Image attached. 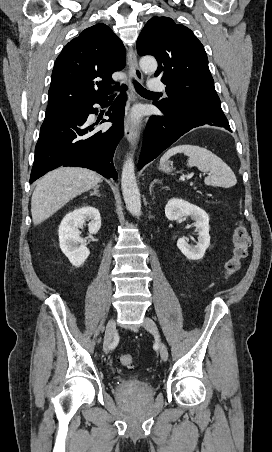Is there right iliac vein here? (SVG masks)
I'll return each instance as SVG.
<instances>
[{
	"label": "right iliac vein",
	"mask_w": 272,
	"mask_h": 452,
	"mask_svg": "<svg viewBox=\"0 0 272 452\" xmlns=\"http://www.w3.org/2000/svg\"><path fill=\"white\" fill-rule=\"evenodd\" d=\"M116 329V323L114 319L108 321L104 335V352L107 354L110 349V345L113 339V335Z\"/></svg>",
	"instance_id": "1"
}]
</instances>
